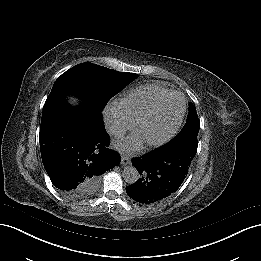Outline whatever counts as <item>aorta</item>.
I'll list each match as a JSON object with an SVG mask.
<instances>
[{"label":"aorta","mask_w":261,"mask_h":261,"mask_svg":"<svg viewBox=\"0 0 261 261\" xmlns=\"http://www.w3.org/2000/svg\"><path fill=\"white\" fill-rule=\"evenodd\" d=\"M122 176L124 181L129 185L136 183L140 178L138 170L132 165H127L124 167Z\"/></svg>","instance_id":"762f6f07"}]
</instances>
